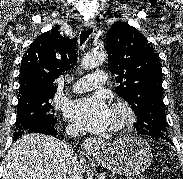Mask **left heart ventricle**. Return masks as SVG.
Segmentation results:
<instances>
[{
    "label": "left heart ventricle",
    "mask_w": 183,
    "mask_h": 179,
    "mask_svg": "<svg viewBox=\"0 0 183 179\" xmlns=\"http://www.w3.org/2000/svg\"><path fill=\"white\" fill-rule=\"evenodd\" d=\"M120 118H121V114L118 111L111 108V119H110L109 127H111L113 124L118 122Z\"/></svg>",
    "instance_id": "b2bd125f"
}]
</instances>
